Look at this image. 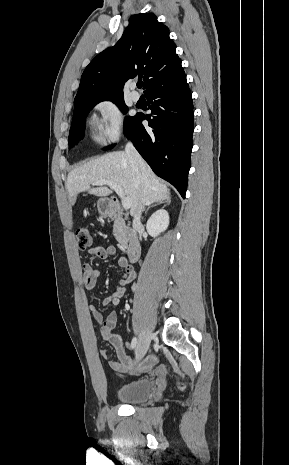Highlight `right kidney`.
I'll use <instances>...</instances> for the list:
<instances>
[{
	"mask_svg": "<svg viewBox=\"0 0 289 465\" xmlns=\"http://www.w3.org/2000/svg\"><path fill=\"white\" fill-rule=\"evenodd\" d=\"M169 225V214L164 209H159L154 212L148 219L146 229L149 235L152 237L158 236L161 232H164Z\"/></svg>",
	"mask_w": 289,
	"mask_h": 465,
	"instance_id": "1",
	"label": "right kidney"
}]
</instances>
